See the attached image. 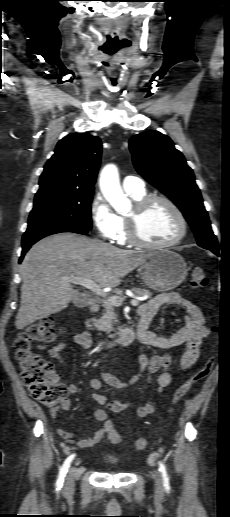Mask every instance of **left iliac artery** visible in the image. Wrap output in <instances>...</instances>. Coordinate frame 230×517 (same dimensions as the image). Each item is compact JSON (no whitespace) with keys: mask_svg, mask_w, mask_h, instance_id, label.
<instances>
[{"mask_svg":"<svg viewBox=\"0 0 230 517\" xmlns=\"http://www.w3.org/2000/svg\"><path fill=\"white\" fill-rule=\"evenodd\" d=\"M159 471L161 472L163 478V486L165 487L166 491H170V483L167 470L165 465L161 461H159Z\"/></svg>","mask_w":230,"mask_h":517,"instance_id":"1","label":"left iliac artery"}]
</instances>
